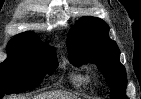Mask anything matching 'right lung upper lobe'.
I'll use <instances>...</instances> for the list:
<instances>
[{
    "instance_id": "obj_1",
    "label": "right lung upper lobe",
    "mask_w": 141,
    "mask_h": 99,
    "mask_svg": "<svg viewBox=\"0 0 141 99\" xmlns=\"http://www.w3.org/2000/svg\"><path fill=\"white\" fill-rule=\"evenodd\" d=\"M10 42H22V43H29L34 45H45L42 43H39V39L33 32H24L15 38L11 39Z\"/></svg>"
}]
</instances>
